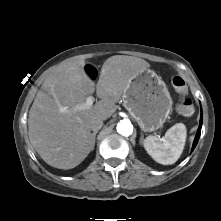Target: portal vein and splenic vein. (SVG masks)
<instances>
[{
    "instance_id": "18ae733b",
    "label": "portal vein and splenic vein",
    "mask_w": 221,
    "mask_h": 221,
    "mask_svg": "<svg viewBox=\"0 0 221 221\" xmlns=\"http://www.w3.org/2000/svg\"><path fill=\"white\" fill-rule=\"evenodd\" d=\"M93 102H94V98L93 97H88L86 99L85 103L82 104V105L77 106L76 109H79V110H81V109H89V108L92 107Z\"/></svg>"
}]
</instances>
